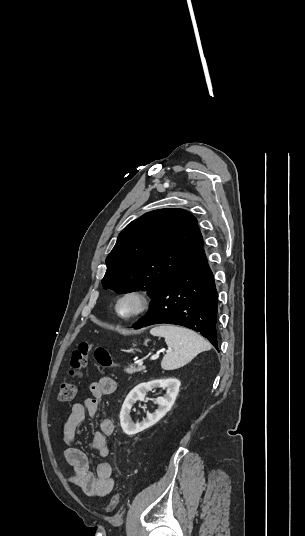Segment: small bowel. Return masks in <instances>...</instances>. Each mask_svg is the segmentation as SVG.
Wrapping results in <instances>:
<instances>
[{"instance_id": "1", "label": "small bowel", "mask_w": 305, "mask_h": 536, "mask_svg": "<svg viewBox=\"0 0 305 536\" xmlns=\"http://www.w3.org/2000/svg\"><path fill=\"white\" fill-rule=\"evenodd\" d=\"M116 387V381L108 376L91 383L88 388L90 396L82 402L75 403L62 424L61 434L65 445L64 456L72 468L69 481L91 497H105L114 488L112 466L105 459L111 453L108 437L114 432V421L109 417H104L100 422V431L95 432L92 436V448L99 456L95 463V474L89 469L88 457L76 445L77 430L86 413L94 416L98 411L100 398L114 393Z\"/></svg>"}]
</instances>
